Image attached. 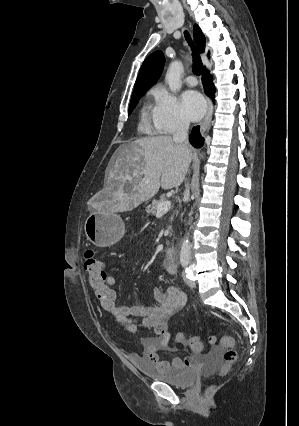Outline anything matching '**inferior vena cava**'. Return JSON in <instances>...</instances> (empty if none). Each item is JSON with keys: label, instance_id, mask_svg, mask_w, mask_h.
<instances>
[{"label": "inferior vena cava", "instance_id": "obj_1", "mask_svg": "<svg viewBox=\"0 0 299 426\" xmlns=\"http://www.w3.org/2000/svg\"><path fill=\"white\" fill-rule=\"evenodd\" d=\"M189 129V121L183 119L180 121V123L178 124V127L176 129V132L173 135V141L175 143H178L180 145H182L183 147H185L186 149H188V131ZM186 193L189 194V188L188 186H186Z\"/></svg>", "mask_w": 299, "mask_h": 426}]
</instances>
